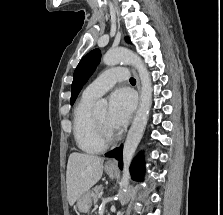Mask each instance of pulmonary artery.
<instances>
[{"instance_id": "e3ab8cb5", "label": "pulmonary artery", "mask_w": 223, "mask_h": 215, "mask_svg": "<svg viewBox=\"0 0 223 215\" xmlns=\"http://www.w3.org/2000/svg\"><path fill=\"white\" fill-rule=\"evenodd\" d=\"M130 69H106V73L97 77L84 90V95L91 98H97L111 89L117 82L125 80L124 74H130Z\"/></svg>"}]
</instances>
